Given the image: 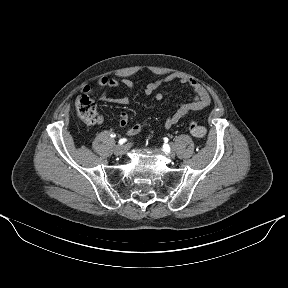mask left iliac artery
Listing matches in <instances>:
<instances>
[{
    "mask_svg": "<svg viewBox=\"0 0 288 288\" xmlns=\"http://www.w3.org/2000/svg\"><path fill=\"white\" fill-rule=\"evenodd\" d=\"M162 142L163 143H168L169 142V137L168 136H163L162 137Z\"/></svg>",
    "mask_w": 288,
    "mask_h": 288,
    "instance_id": "obj_1",
    "label": "left iliac artery"
}]
</instances>
